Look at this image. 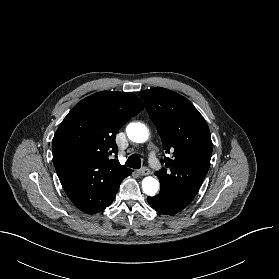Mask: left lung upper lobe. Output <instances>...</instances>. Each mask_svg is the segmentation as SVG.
Here are the masks:
<instances>
[{
    "instance_id": "1",
    "label": "left lung upper lobe",
    "mask_w": 279,
    "mask_h": 279,
    "mask_svg": "<svg viewBox=\"0 0 279 279\" xmlns=\"http://www.w3.org/2000/svg\"><path fill=\"white\" fill-rule=\"evenodd\" d=\"M166 153L165 168L155 173L161 188L194 197L210 166L212 141L203 116L185 97L165 88L141 91Z\"/></svg>"
}]
</instances>
